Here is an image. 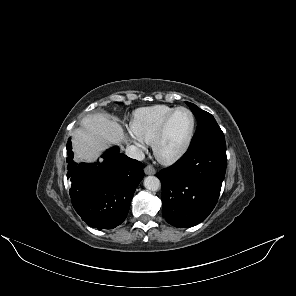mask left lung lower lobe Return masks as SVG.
I'll return each mask as SVG.
<instances>
[{
  "mask_svg": "<svg viewBox=\"0 0 296 296\" xmlns=\"http://www.w3.org/2000/svg\"><path fill=\"white\" fill-rule=\"evenodd\" d=\"M227 164L225 140L188 149L161 170L162 213L175 227L188 228L207 218L219 198Z\"/></svg>",
  "mask_w": 296,
  "mask_h": 296,
  "instance_id": "0a47b994",
  "label": "left lung lower lobe"
}]
</instances>
